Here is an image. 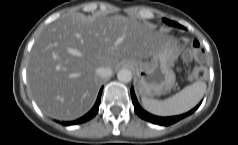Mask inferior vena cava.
I'll return each mask as SVG.
<instances>
[{
  "label": "inferior vena cava",
  "instance_id": "obj_1",
  "mask_svg": "<svg viewBox=\"0 0 238 145\" xmlns=\"http://www.w3.org/2000/svg\"><path fill=\"white\" fill-rule=\"evenodd\" d=\"M96 74L101 78H108L112 75V69L109 67H99L96 69Z\"/></svg>",
  "mask_w": 238,
  "mask_h": 145
}]
</instances>
